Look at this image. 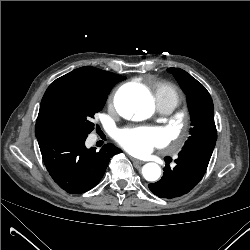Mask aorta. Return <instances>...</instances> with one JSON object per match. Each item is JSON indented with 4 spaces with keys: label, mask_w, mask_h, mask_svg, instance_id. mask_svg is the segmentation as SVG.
<instances>
[{
    "label": "aorta",
    "mask_w": 250,
    "mask_h": 250,
    "mask_svg": "<svg viewBox=\"0 0 250 250\" xmlns=\"http://www.w3.org/2000/svg\"><path fill=\"white\" fill-rule=\"evenodd\" d=\"M115 106L119 114L127 119L144 120L153 113L149 91L137 83H129L120 88ZM142 174L147 181H156L161 175V168L156 163H147L142 168Z\"/></svg>",
    "instance_id": "obj_1"
}]
</instances>
